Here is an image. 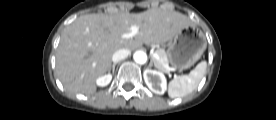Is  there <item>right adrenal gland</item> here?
I'll list each match as a JSON object with an SVG mask.
<instances>
[{
  "label": "right adrenal gland",
  "mask_w": 276,
  "mask_h": 120,
  "mask_svg": "<svg viewBox=\"0 0 276 120\" xmlns=\"http://www.w3.org/2000/svg\"><path fill=\"white\" fill-rule=\"evenodd\" d=\"M117 65V63H113L112 65V73L114 74V71H115V66Z\"/></svg>",
  "instance_id": "right-adrenal-gland-1"
}]
</instances>
